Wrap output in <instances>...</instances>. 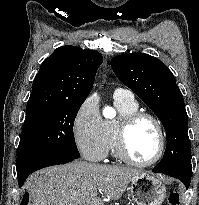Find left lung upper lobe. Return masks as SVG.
I'll return each mask as SVG.
<instances>
[{"label":"left lung upper lobe","mask_w":199,"mask_h":205,"mask_svg":"<svg viewBox=\"0 0 199 205\" xmlns=\"http://www.w3.org/2000/svg\"><path fill=\"white\" fill-rule=\"evenodd\" d=\"M111 67L117 78L143 100L165 128L167 148L154 170L191 179L188 117L172 72L159 59L144 53L115 56Z\"/></svg>","instance_id":"1"}]
</instances>
